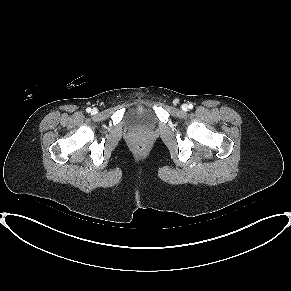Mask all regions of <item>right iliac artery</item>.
I'll return each instance as SVG.
<instances>
[{"instance_id":"obj_1","label":"right iliac artery","mask_w":291,"mask_h":291,"mask_svg":"<svg viewBox=\"0 0 291 291\" xmlns=\"http://www.w3.org/2000/svg\"><path fill=\"white\" fill-rule=\"evenodd\" d=\"M86 111L89 113L91 112V108H87Z\"/></svg>"}]
</instances>
